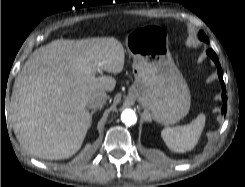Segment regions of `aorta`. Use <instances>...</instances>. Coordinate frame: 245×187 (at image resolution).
I'll list each match as a JSON object with an SVG mask.
<instances>
[{
  "label": "aorta",
  "mask_w": 245,
  "mask_h": 187,
  "mask_svg": "<svg viewBox=\"0 0 245 187\" xmlns=\"http://www.w3.org/2000/svg\"><path fill=\"white\" fill-rule=\"evenodd\" d=\"M121 120L127 126H131L137 122V116L133 110L125 109L121 114Z\"/></svg>",
  "instance_id": "1"
}]
</instances>
